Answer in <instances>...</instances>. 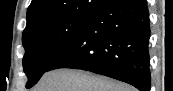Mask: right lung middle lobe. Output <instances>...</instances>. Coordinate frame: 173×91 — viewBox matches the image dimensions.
Segmentation results:
<instances>
[{"mask_svg": "<svg viewBox=\"0 0 173 91\" xmlns=\"http://www.w3.org/2000/svg\"><path fill=\"white\" fill-rule=\"evenodd\" d=\"M95 12L69 15L38 22L23 32L24 72L32 87L53 60L77 37Z\"/></svg>", "mask_w": 173, "mask_h": 91, "instance_id": "1", "label": "right lung middle lobe"}]
</instances>
